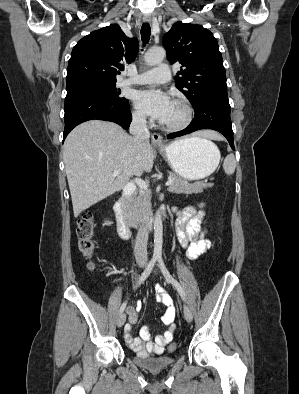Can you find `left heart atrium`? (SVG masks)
Here are the masks:
<instances>
[{"mask_svg": "<svg viewBox=\"0 0 299 394\" xmlns=\"http://www.w3.org/2000/svg\"><path fill=\"white\" fill-rule=\"evenodd\" d=\"M173 100L170 96L156 89L138 91L135 94V106L142 113L163 121L169 114Z\"/></svg>", "mask_w": 299, "mask_h": 394, "instance_id": "obj_1", "label": "left heart atrium"}]
</instances>
